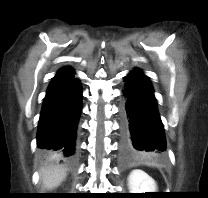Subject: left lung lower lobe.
I'll return each instance as SVG.
<instances>
[{"instance_id": "obj_1", "label": "left lung lower lobe", "mask_w": 208, "mask_h": 198, "mask_svg": "<svg viewBox=\"0 0 208 198\" xmlns=\"http://www.w3.org/2000/svg\"><path fill=\"white\" fill-rule=\"evenodd\" d=\"M120 108V150L125 158L160 156L166 149L164 128L153 87L139 69L125 78Z\"/></svg>"}]
</instances>
